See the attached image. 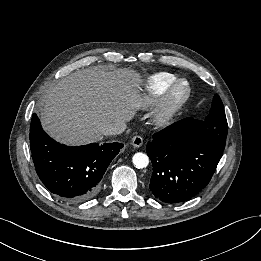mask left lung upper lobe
<instances>
[{"instance_id": "left-lung-upper-lobe-1", "label": "left lung upper lobe", "mask_w": 261, "mask_h": 261, "mask_svg": "<svg viewBox=\"0 0 261 261\" xmlns=\"http://www.w3.org/2000/svg\"><path fill=\"white\" fill-rule=\"evenodd\" d=\"M227 120L223 103L216 94L212 102L210 114L204 120L206 138L209 142L224 149L227 137Z\"/></svg>"}]
</instances>
